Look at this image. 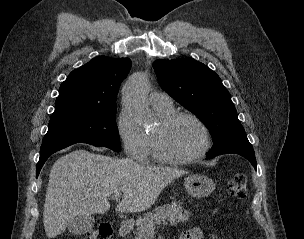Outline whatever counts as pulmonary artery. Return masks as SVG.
Instances as JSON below:
<instances>
[{
    "label": "pulmonary artery",
    "mask_w": 304,
    "mask_h": 239,
    "mask_svg": "<svg viewBox=\"0 0 304 239\" xmlns=\"http://www.w3.org/2000/svg\"><path fill=\"white\" fill-rule=\"evenodd\" d=\"M150 103L152 105H172V99L166 93L153 92L150 95Z\"/></svg>",
    "instance_id": "obj_1"
}]
</instances>
